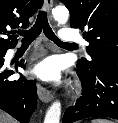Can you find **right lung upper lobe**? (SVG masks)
I'll list each match as a JSON object with an SVG mask.
<instances>
[{
  "mask_svg": "<svg viewBox=\"0 0 118 123\" xmlns=\"http://www.w3.org/2000/svg\"><path fill=\"white\" fill-rule=\"evenodd\" d=\"M42 4L43 0H0V51L16 46L17 35L10 29L26 28Z\"/></svg>",
  "mask_w": 118,
  "mask_h": 123,
  "instance_id": "right-lung-upper-lobe-1",
  "label": "right lung upper lobe"
}]
</instances>
